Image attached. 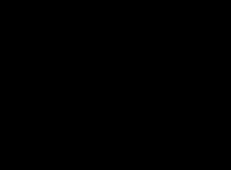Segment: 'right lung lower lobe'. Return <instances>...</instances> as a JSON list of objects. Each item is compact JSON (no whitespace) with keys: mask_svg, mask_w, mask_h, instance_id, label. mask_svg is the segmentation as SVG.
<instances>
[{"mask_svg":"<svg viewBox=\"0 0 231 170\" xmlns=\"http://www.w3.org/2000/svg\"><path fill=\"white\" fill-rule=\"evenodd\" d=\"M51 40L52 44L44 42L30 60L27 108L42 143L56 156L74 160L90 145L78 139L76 101L85 78L73 56L75 28L61 25Z\"/></svg>","mask_w":231,"mask_h":170,"instance_id":"right-lung-lower-lobe-1","label":"right lung lower lobe"}]
</instances>
